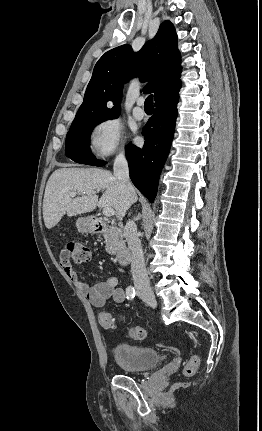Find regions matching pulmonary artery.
Instances as JSON below:
<instances>
[{"instance_id":"e3ab8cb5","label":"pulmonary artery","mask_w":262,"mask_h":431,"mask_svg":"<svg viewBox=\"0 0 262 431\" xmlns=\"http://www.w3.org/2000/svg\"><path fill=\"white\" fill-rule=\"evenodd\" d=\"M144 102L143 98L137 100V105L133 108V116L137 120H142L145 117L144 110L140 107Z\"/></svg>"}]
</instances>
